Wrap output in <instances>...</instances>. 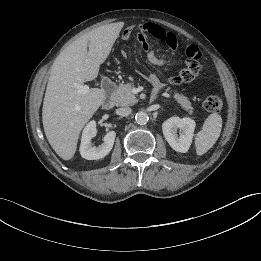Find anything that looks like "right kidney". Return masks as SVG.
Listing matches in <instances>:
<instances>
[{"label": "right kidney", "mask_w": 261, "mask_h": 261, "mask_svg": "<svg viewBox=\"0 0 261 261\" xmlns=\"http://www.w3.org/2000/svg\"><path fill=\"white\" fill-rule=\"evenodd\" d=\"M97 134L96 122L90 121L84 128L80 144V154L87 160H98L104 158L113 148L116 133L109 131L104 136V143L99 147H92L91 139Z\"/></svg>", "instance_id": "1"}]
</instances>
